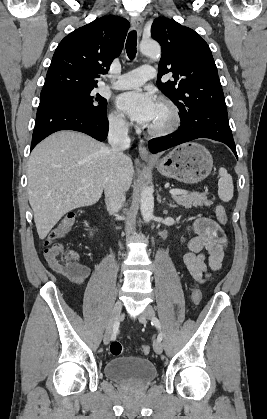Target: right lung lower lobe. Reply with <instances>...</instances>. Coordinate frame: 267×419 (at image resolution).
<instances>
[{"instance_id":"obj_1","label":"right lung lower lobe","mask_w":267,"mask_h":419,"mask_svg":"<svg viewBox=\"0 0 267 419\" xmlns=\"http://www.w3.org/2000/svg\"><path fill=\"white\" fill-rule=\"evenodd\" d=\"M60 130H75L104 141L108 135L106 113L90 116L64 102L41 98L37 110L31 149L48 135Z\"/></svg>"}]
</instances>
